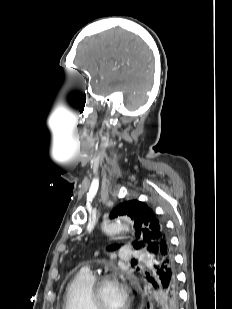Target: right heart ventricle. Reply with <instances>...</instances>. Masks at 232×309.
<instances>
[{
	"label": "right heart ventricle",
	"mask_w": 232,
	"mask_h": 309,
	"mask_svg": "<svg viewBox=\"0 0 232 309\" xmlns=\"http://www.w3.org/2000/svg\"><path fill=\"white\" fill-rule=\"evenodd\" d=\"M95 278L82 271L68 283L64 295V309H92L89 293Z\"/></svg>",
	"instance_id": "right-heart-ventricle-1"
}]
</instances>
